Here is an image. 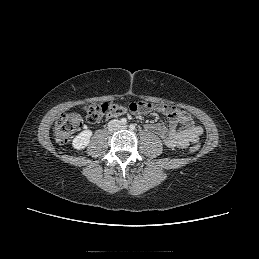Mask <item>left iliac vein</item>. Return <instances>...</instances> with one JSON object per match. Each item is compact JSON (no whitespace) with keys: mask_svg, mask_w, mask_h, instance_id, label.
<instances>
[{"mask_svg":"<svg viewBox=\"0 0 259 259\" xmlns=\"http://www.w3.org/2000/svg\"><path fill=\"white\" fill-rule=\"evenodd\" d=\"M123 129H126L127 128V125H122L121 126Z\"/></svg>","mask_w":259,"mask_h":259,"instance_id":"obj_1","label":"left iliac vein"}]
</instances>
